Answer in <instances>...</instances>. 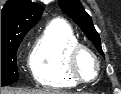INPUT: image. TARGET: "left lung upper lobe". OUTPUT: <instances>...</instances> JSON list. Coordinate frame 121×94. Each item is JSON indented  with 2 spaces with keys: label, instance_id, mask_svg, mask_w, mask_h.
Listing matches in <instances>:
<instances>
[{
  "label": "left lung upper lobe",
  "instance_id": "5c2ea615",
  "mask_svg": "<svg viewBox=\"0 0 121 94\" xmlns=\"http://www.w3.org/2000/svg\"><path fill=\"white\" fill-rule=\"evenodd\" d=\"M60 8L69 15L73 21L80 26L89 40L96 46L98 51L103 54L100 36L93 26L91 17L85 12L79 0H59Z\"/></svg>",
  "mask_w": 121,
  "mask_h": 94
}]
</instances>
